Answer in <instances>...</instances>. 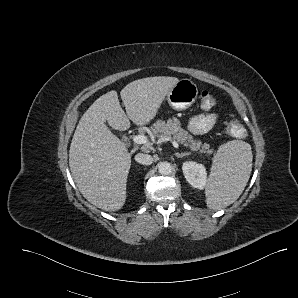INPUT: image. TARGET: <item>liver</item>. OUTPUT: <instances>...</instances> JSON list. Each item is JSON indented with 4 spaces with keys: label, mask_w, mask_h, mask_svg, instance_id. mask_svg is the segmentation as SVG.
<instances>
[{
    "label": "liver",
    "mask_w": 298,
    "mask_h": 298,
    "mask_svg": "<svg viewBox=\"0 0 298 298\" xmlns=\"http://www.w3.org/2000/svg\"><path fill=\"white\" fill-rule=\"evenodd\" d=\"M177 81L171 76L132 81L120 92L126 113L112 90L97 98L83 114L71 141L69 165L77 188L93 205L106 211L122 207L131 164L127 147L105 121L119 131L128 129L130 120L148 122Z\"/></svg>",
    "instance_id": "1"
}]
</instances>
